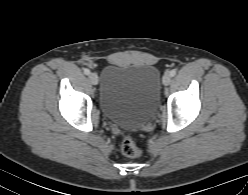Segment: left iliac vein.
<instances>
[{
	"instance_id": "4c4485c4",
	"label": "left iliac vein",
	"mask_w": 248,
	"mask_h": 195,
	"mask_svg": "<svg viewBox=\"0 0 248 195\" xmlns=\"http://www.w3.org/2000/svg\"><path fill=\"white\" fill-rule=\"evenodd\" d=\"M163 84L164 85H169L170 83H171V76H170V74H165L164 76H163Z\"/></svg>"
}]
</instances>
